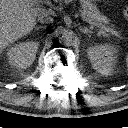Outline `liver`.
Returning <instances> with one entry per match:
<instances>
[{
    "label": "liver",
    "mask_w": 128,
    "mask_h": 128,
    "mask_svg": "<svg viewBox=\"0 0 128 128\" xmlns=\"http://www.w3.org/2000/svg\"><path fill=\"white\" fill-rule=\"evenodd\" d=\"M43 12L45 8L33 7L23 0H0V54L10 43L28 34Z\"/></svg>",
    "instance_id": "1"
}]
</instances>
